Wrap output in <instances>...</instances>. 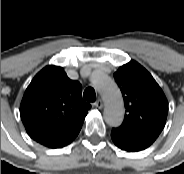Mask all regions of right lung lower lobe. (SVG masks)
I'll use <instances>...</instances> for the list:
<instances>
[{
  "label": "right lung lower lobe",
  "mask_w": 184,
  "mask_h": 174,
  "mask_svg": "<svg viewBox=\"0 0 184 174\" xmlns=\"http://www.w3.org/2000/svg\"><path fill=\"white\" fill-rule=\"evenodd\" d=\"M78 133H79V132H77L73 137H71V138H70L69 140H67L65 143L59 145L57 148H61V147H63V146H66V145L70 144V143L76 138V136L78 135Z\"/></svg>",
  "instance_id": "1"
}]
</instances>
